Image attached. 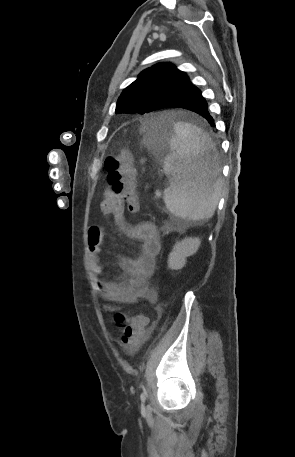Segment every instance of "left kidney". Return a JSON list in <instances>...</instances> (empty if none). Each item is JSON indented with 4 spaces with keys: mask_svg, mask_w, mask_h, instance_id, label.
<instances>
[{
    "mask_svg": "<svg viewBox=\"0 0 295 457\" xmlns=\"http://www.w3.org/2000/svg\"><path fill=\"white\" fill-rule=\"evenodd\" d=\"M200 246L199 238L186 237L173 246L172 252L168 257V266L178 270L186 264V258L195 254Z\"/></svg>",
    "mask_w": 295,
    "mask_h": 457,
    "instance_id": "1",
    "label": "left kidney"
}]
</instances>
